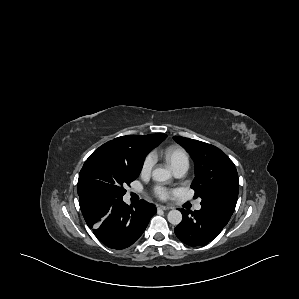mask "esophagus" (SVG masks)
<instances>
[{
	"mask_svg": "<svg viewBox=\"0 0 299 299\" xmlns=\"http://www.w3.org/2000/svg\"><path fill=\"white\" fill-rule=\"evenodd\" d=\"M157 208L161 209V210H169V209H171V207H169L167 205H157Z\"/></svg>",
	"mask_w": 299,
	"mask_h": 299,
	"instance_id": "esophagus-1",
	"label": "esophagus"
}]
</instances>
